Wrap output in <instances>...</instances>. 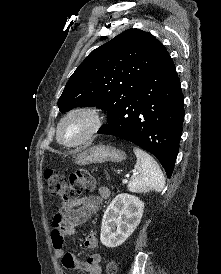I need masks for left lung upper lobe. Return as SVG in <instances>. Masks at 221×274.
<instances>
[{
	"instance_id": "5c2ea615",
	"label": "left lung upper lobe",
	"mask_w": 221,
	"mask_h": 274,
	"mask_svg": "<svg viewBox=\"0 0 221 274\" xmlns=\"http://www.w3.org/2000/svg\"><path fill=\"white\" fill-rule=\"evenodd\" d=\"M167 55L152 34L139 29L122 32L93 50L75 70L58 100L59 110L97 106L112 114L139 92Z\"/></svg>"
}]
</instances>
